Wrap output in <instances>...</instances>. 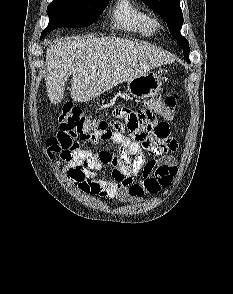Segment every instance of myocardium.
<instances>
[{"label":"myocardium","mask_w":233,"mask_h":294,"mask_svg":"<svg viewBox=\"0 0 233 294\" xmlns=\"http://www.w3.org/2000/svg\"><path fill=\"white\" fill-rule=\"evenodd\" d=\"M152 25L155 29L161 28L162 24L157 18H152Z\"/></svg>","instance_id":"1"}]
</instances>
